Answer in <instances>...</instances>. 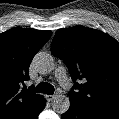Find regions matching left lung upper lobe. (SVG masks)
I'll use <instances>...</instances> for the list:
<instances>
[{
	"label": "left lung upper lobe",
	"mask_w": 119,
	"mask_h": 119,
	"mask_svg": "<svg viewBox=\"0 0 119 119\" xmlns=\"http://www.w3.org/2000/svg\"><path fill=\"white\" fill-rule=\"evenodd\" d=\"M51 53L63 59L74 82L70 102L87 110L119 119V43L111 36L88 27L57 30Z\"/></svg>",
	"instance_id": "5c2ea615"
}]
</instances>
